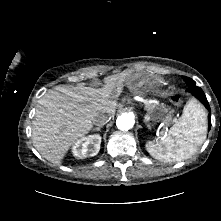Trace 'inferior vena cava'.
Returning <instances> with one entry per match:
<instances>
[{
    "instance_id": "602c4592",
    "label": "inferior vena cava",
    "mask_w": 221,
    "mask_h": 221,
    "mask_svg": "<svg viewBox=\"0 0 221 221\" xmlns=\"http://www.w3.org/2000/svg\"><path fill=\"white\" fill-rule=\"evenodd\" d=\"M110 120V116L107 114H100L94 119V124L97 126H103Z\"/></svg>"
}]
</instances>
